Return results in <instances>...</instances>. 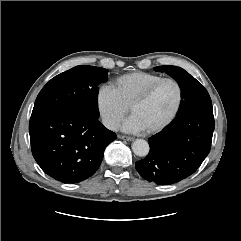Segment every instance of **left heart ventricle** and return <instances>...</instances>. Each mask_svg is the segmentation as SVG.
Segmentation results:
<instances>
[{
	"label": "left heart ventricle",
	"instance_id": "b2bd125f",
	"mask_svg": "<svg viewBox=\"0 0 241 241\" xmlns=\"http://www.w3.org/2000/svg\"><path fill=\"white\" fill-rule=\"evenodd\" d=\"M177 88L171 82L161 84L152 96L137 106L132 114L144 124L146 129L162 123L173 111L177 102Z\"/></svg>",
	"mask_w": 241,
	"mask_h": 241
}]
</instances>
